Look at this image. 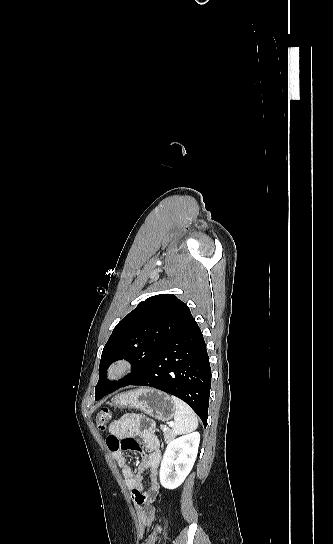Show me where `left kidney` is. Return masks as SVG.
<instances>
[{
    "label": "left kidney",
    "instance_id": "left-kidney-1",
    "mask_svg": "<svg viewBox=\"0 0 333 544\" xmlns=\"http://www.w3.org/2000/svg\"><path fill=\"white\" fill-rule=\"evenodd\" d=\"M199 442V432H193L168 443L160 467V482L164 488L175 489L183 483L196 460Z\"/></svg>",
    "mask_w": 333,
    "mask_h": 544
}]
</instances>
